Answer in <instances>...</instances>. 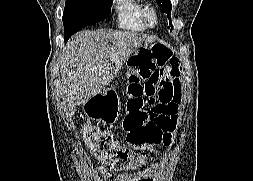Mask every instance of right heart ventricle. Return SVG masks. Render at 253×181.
Masks as SVG:
<instances>
[{"instance_id": "e07e8e85", "label": "right heart ventricle", "mask_w": 253, "mask_h": 181, "mask_svg": "<svg viewBox=\"0 0 253 181\" xmlns=\"http://www.w3.org/2000/svg\"><path fill=\"white\" fill-rule=\"evenodd\" d=\"M146 5L143 0H113L117 26L132 32L145 31L146 26L142 19V10Z\"/></svg>"}]
</instances>
